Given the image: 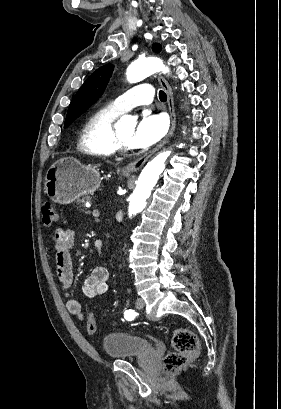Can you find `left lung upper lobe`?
Here are the masks:
<instances>
[{"label": "left lung upper lobe", "instance_id": "5c2ea615", "mask_svg": "<svg viewBox=\"0 0 281 409\" xmlns=\"http://www.w3.org/2000/svg\"><path fill=\"white\" fill-rule=\"evenodd\" d=\"M154 51H160V45L155 44ZM114 66L107 64L92 73L74 96L70 103L64 128H67L75 119L94 104L105 90Z\"/></svg>", "mask_w": 281, "mask_h": 409}]
</instances>
